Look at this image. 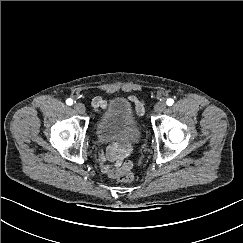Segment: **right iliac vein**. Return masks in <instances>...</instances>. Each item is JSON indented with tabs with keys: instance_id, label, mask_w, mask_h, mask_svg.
<instances>
[{
	"instance_id": "right-iliac-vein-1",
	"label": "right iliac vein",
	"mask_w": 243,
	"mask_h": 243,
	"mask_svg": "<svg viewBox=\"0 0 243 243\" xmlns=\"http://www.w3.org/2000/svg\"><path fill=\"white\" fill-rule=\"evenodd\" d=\"M74 109L79 114H84L85 113V106L82 103H75L74 104Z\"/></svg>"
}]
</instances>
